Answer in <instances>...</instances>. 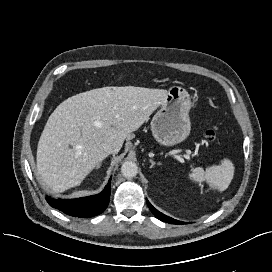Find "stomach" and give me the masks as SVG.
<instances>
[{
	"label": "stomach",
	"mask_w": 272,
	"mask_h": 272,
	"mask_svg": "<svg viewBox=\"0 0 272 272\" xmlns=\"http://www.w3.org/2000/svg\"><path fill=\"white\" fill-rule=\"evenodd\" d=\"M190 95L180 86H172L160 109L151 120L154 139L161 146H173L184 141L191 130Z\"/></svg>",
	"instance_id": "0dacf381"
}]
</instances>
